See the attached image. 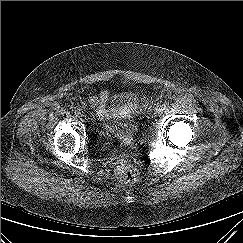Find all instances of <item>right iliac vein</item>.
I'll return each mask as SVG.
<instances>
[{
    "label": "right iliac vein",
    "mask_w": 243,
    "mask_h": 243,
    "mask_svg": "<svg viewBox=\"0 0 243 243\" xmlns=\"http://www.w3.org/2000/svg\"><path fill=\"white\" fill-rule=\"evenodd\" d=\"M80 117H81L82 119H86V116H85L84 114H80Z\"/></svg>",
    "instance_id": "obj_1"
}]
</instances>
